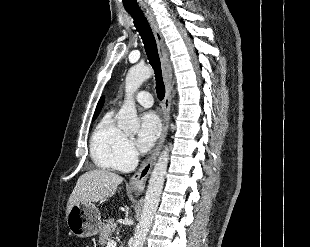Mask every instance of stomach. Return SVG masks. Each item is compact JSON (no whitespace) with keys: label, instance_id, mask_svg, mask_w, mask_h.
Wrapping results in <instances>:
<instances>
[{"label":"stomach","instance_id":"0dacf381","mask_svg":"<svg viewBox=\"0 0 310 247\" xmlns=\"http://www.w3.org/2000/svg\"><path fill=\"white\" fill-rule=\"evenodd\" d=\"M66 222L71 234L80 238L94 236L102 229L100 212L92 203L73 205Z\"/></svg>","mask_w":310,"mask_h":247}]
</instances>
